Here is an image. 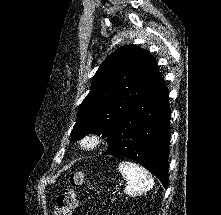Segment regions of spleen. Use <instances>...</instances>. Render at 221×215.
<instances>
[{"instance_id": "spleen-1", "label": "spleen", "mask_w": 221, "mask_h": 215, "mask_svg": "<svg viewBox=\"0 0 221 215\" xmlns=\"http://www.w3.org/2000/svg\"><path fill=\"white\" fill-rule=\"evenodd\" d=\"M118 170L128 182L125 191L129 196L142 194L153 187L154 181L149 172L136 163L120 162Z\"/></svg>"}]
</instances>
